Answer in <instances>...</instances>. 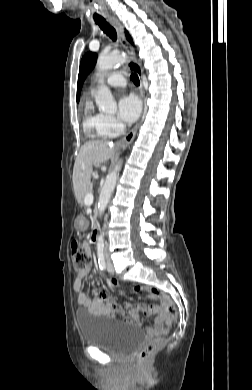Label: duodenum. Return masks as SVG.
I'll return each instance as SVG.
<instances>
[{"label":"duodenum","instance_id":"duodenum-1","mask_svg":"<svg viewBox=\"0 0 252 390\" xmlns=\"http://www.w3.org/2000/svg\"><path fill=\"white\" fill-rule=\"evenodd\" d=\"M98 236H99V231H98L97 229H95V230L92 232V236H91L92 241H93V242H97Z\"/></svg>","mask_w":252,"mask_h":390}]
</instances>
